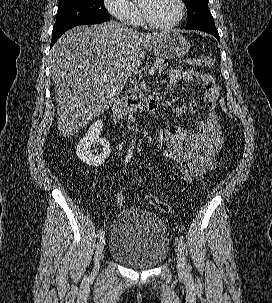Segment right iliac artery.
Here are the masks:
<instances>
[{"mask_svg": "<svg viewBox=\"0 0 272 303\" xmlns=\"http://www.w3.org/2000/svg\"><path fill=\"white\" fill-rule=\"evenodd\" d=\"M133 149H134L133 146H131V147L129 148L128 153H127V156H126L125 161H124L125 164H127V163L131 160V157L133 156ZM97 235H98V237H101L102 235H104V231H103L102 229H100V230L98 231V234H97Z\"/></svg>", "mask_w": 272, "mask_h": 303, "instance_id": "obj_1", "label": "right iliac artery"}]
</instances>
